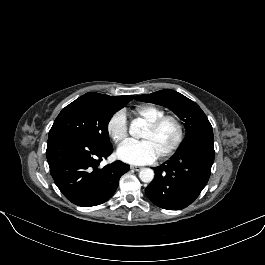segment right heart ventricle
I'll use <instances>...</instances> for the list:
<instances>
[{"mask_svg": "<svg viewBox=\"0 0 265 265\" xmlns=\"http://www.w3.org/2000/svg\"><path fill=\"white\" fill-rule=\"evenodd\" d=\"M133 114L137 120L147 124L165 115V110L154 104H140L134 108Z\"/></svg>", "mask_w": 265, "mask_h": 265, "instance_id": "obj_1", "label": "right heart ventricle"}]
</instances>
